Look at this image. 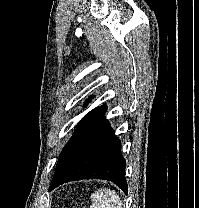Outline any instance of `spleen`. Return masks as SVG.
Segmentation results:
<instances>
[{"label": "spleen", "mask_w": 199, "mask_h": 208, "mask_svg": "<svg viewBox=\"0 0 199 208\" xmlns=\"http://www.w3.org/2000/svg\"><path fill=\"white\" fill-rule=\"evenodd\" d=\"M92 205L90 208H123L119 195L111 189H103L91 195Z\"/></svg>", "instance_id": "1"}]
</instances>
